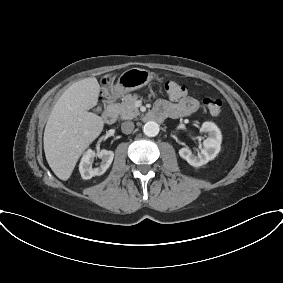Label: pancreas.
<instances>
[{
  "label": "pancreas",
  "mask_w": 283,
  "mask_h": 283,
  "mask_svg": "<svg viewBox=\"0 0 283 283\" xmlns=\"http://www.w3.org/2000/svg\"><path fill=\"white\" fill-rule=\"evenodd\" d=\"M137 99V95L128 94L123 97L121 103H116L112 107L120 115L121 119H133L140 114L138 108L135 106Z\"/></svg>",
  "instance_id": "obj_1"
}]
</instances>
